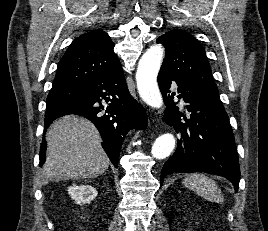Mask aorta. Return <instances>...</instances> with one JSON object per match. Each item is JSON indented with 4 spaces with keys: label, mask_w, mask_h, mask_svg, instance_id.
Masks as SVG:
<instances>
[{
    "label": "aorta",
    "mask_w": 268,
    "mask_h": 231,
    "mask_svg": "<svg viewBox=\"0 0 268 231\" xmlns=\"http://www.w3.org/2000/svg\"><path fill=\"white\" fill-rule=\"evenodd\" d=\"M164 49L161 45L151 46L141 57L136 72L137 89L143 101L152 108H161L163 100L157 84V75L161 67ZM175 147V138L171 133L159 136L151 153L156 159L168 157Z\"/></svg>",
    "instance_id": "762f6f07"
}]
</instances>
